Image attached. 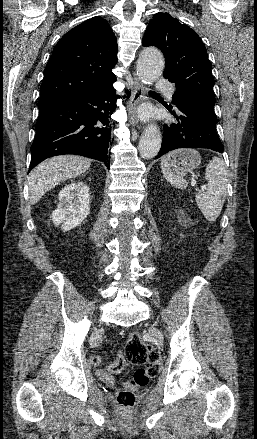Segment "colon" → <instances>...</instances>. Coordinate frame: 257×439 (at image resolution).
<instances>
[{"label": "colon", "instance_id": "obj_1", "mask_svg": "<svg viewBox=\"0 0 257 439\" xmlns=\"http://www.w3.org/2000/svg\"><path fill=\"white\" fill-rule=\"evenodd\" d=\"M100 361L98 356L91 357L92 365H99ZM127 363L139 366V368L134 373L133 378L126 381L117 392V403L125 409L131 408L135 404V392L157 376L160 356L156 350L145 344L137 333L132 332L127 336L123 348L111 364L110 369L119 373ZM102 377L109 380V376L105 373H102Z\"/></svg>", "mask_w": 257, "mask_h": 439}]
</instances>
